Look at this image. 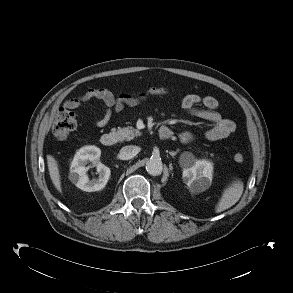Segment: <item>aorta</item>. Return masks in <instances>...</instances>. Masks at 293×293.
Returning <instances> with one entry per match:
<instances>
[{"instance_id": "762f6f07", "label": "aorta", "mask_w": 293, "mask_h": 293, "mask_svg": "<svg viewBox=\"0 0 293 293\" xmlns=\"http://www.w3.org/2000/svg\"><path fill=\"white\" fill-rule=\"evenodd\" d=\"M163 164L160 158L152 157L146 162V171L152 176H158L162 173Z\"/></svg>"}]
</instances>
